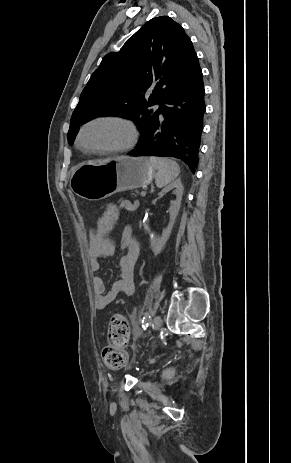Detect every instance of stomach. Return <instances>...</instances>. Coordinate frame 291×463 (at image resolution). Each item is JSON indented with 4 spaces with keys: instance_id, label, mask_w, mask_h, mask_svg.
<instances>
[{
    "instance_id": "1",
    "label": "stomach",
    "mask_w": 291,
    "mask_h": 463,
    "mask_svg": "<svg viewBox=\"0 0 291 463\" xmlns=\"http://www.w3.org/2000/svg\"><path fill=\"white\" fill-rule=\"evenodd\" d=\"M154 176L155 169L149 159L121 156L80 163L72 169L69 183L76 195L96 201L146 186Z\"/></svg>"
}]
</instances>
